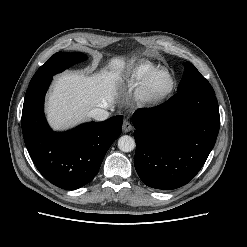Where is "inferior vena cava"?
I'll list each match as a JSON object with an SVG mask.
<instances>
[{"mask_svg": "<svg viewBox=\"0 0 247 247\" xmlns=\"http://www.w3.org/2000/svg\"><path fill=\"white\" fill-rule=\"evenodd\" d=\"M89 116L97 121H103L109 117V113L103 108H94L89 112Z\"/></svg>", "mask_w": 247, "mask_h": 247, "instance_id": "inferior-vena-cava-1", "label": "inferior vena cava"}]
</instances>
